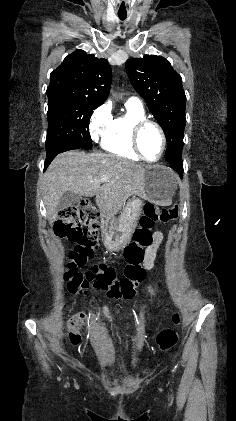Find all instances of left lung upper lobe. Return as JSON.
Listing matches in <instances>:
<instances>
[{
	"label": "left lung upper lobe",
	"mask_w": 236,
	"mask_h": 421,
	"mask_svg": "<svg viewBox=\"0 0 236 421\" xmlns=\"http://www.w3.org/2000/svg\"><path fill=\"white\" fill-rule=\"evenodd\" d=\"M126 71L165 133V159L168 163L182 162L186 96L181 76L167 59L156 55L127 60Z\"/></svg>",
	"instance_id": "1"
}]
</instances>
